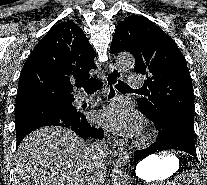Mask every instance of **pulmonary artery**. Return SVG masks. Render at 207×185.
<instances>
[{
	"instance_id": "e3ab8cb5",
	"label": "pulmonary artery",
	"mask_w": 207,
	"mask_h": 185,
	"mask_svg": "<svg viewBox=\"0 0 207 185\" xmlns=\"http://www.w3.org/2000/svg\"><path fill=\"white\" fill-rule=\"evenodd\" d=\"M128 85L131 86L130 90L131 91H136L137 87L136 86H143V81L142 77H128L127 78ZM91 98H86L85 101H90Z\"/></svg>"
}]
</instances>
